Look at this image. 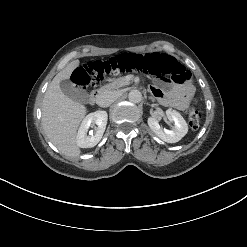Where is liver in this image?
<instances>
[{
    "label": "liver",
    "mask_w": 247,
    "mask_h": 247,
    "mask_svg": "<svg viewBox=\"0 0 247 247\" xmlns=\"http://www.w3.org/2000/svg\"><path fill=\"white\" fill-rule=\"evenodd\" d=\"M79 63V60L70 62L54 77L42 104V125L47 137L61 153L69 157H77L81 153L77 145V129L87 109L67 97L60 88V82L69 79Z\"/></svg>",
    "instance_id": "1"
}]
</instances>
